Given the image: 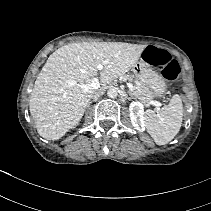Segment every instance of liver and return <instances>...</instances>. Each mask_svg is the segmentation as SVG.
Here are the masks:
<instances>
[{
    "label": "liver",
    "instance_id": "liver-1",
    "mask_svg": "<svg viewBox=\"0 0 211 211\" xmlns=\"http://www.w3.org/2000/svg\"><path fill=\"white\" fill-rule=\"evenodd\" d=\"M146 45L124 42L69 43L58 48L40 71L29 100L40 136L62 138L82 118L91 95L128 72ZM100 70L101 87L85 89ZM73 83V84H71Z\"/></svg>",
    "mask_w": 211,
    "mask_h": 211
}]
</instances>
